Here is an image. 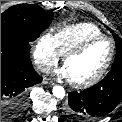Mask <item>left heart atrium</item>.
Returning <instances> with one entry per match:
<instances>
[{
    "label": "left heart atrium",
    "instance_id": "1",
    "mask_svg": "<svg viewBox=\"0 0 122 122\" xmlns=\"http://www.w3.org/2000/svg\"><path fill=\"white\" fill-rule=\"evenodd\" d=\"M57 73H58V75H60L61 77L70 80L68 71H67V69L65 68V66L61 67V68L57 71Z\"/></svg>",
    "mask_w": 122,
    "mask_h": 122
}]
</instances>
